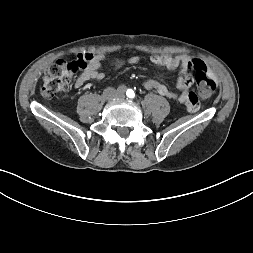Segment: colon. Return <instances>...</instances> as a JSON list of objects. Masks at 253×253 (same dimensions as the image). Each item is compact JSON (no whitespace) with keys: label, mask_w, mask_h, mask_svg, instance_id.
<instances>
[{"label":"colon","mask_w":253,"mask_h":253,"mask_svg":"<svg viewBox=\"0 0 253 253\" xmlns=\"http://www.w3.org/2000/svg\"><path fill=\"white\" fill-rule=\"evenodd\" d=\"M92 55L90 53L78 56L74 60H59L52 64L45 72L40 93L43 97L50 98L66 89L71 79L79 72L85 70ZM195 72V82L198 87V95L201 98L208 97L215 87V82L207 75V67L200 60L191 61ZM187 108V106H186Z\"/></svg>","instance_id":"1"}]
</instances>
